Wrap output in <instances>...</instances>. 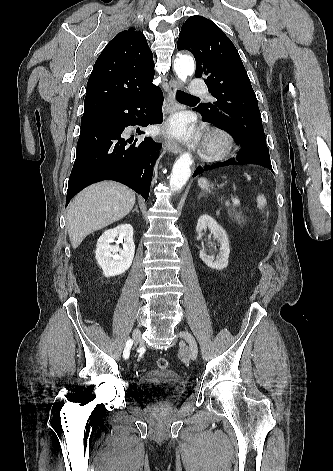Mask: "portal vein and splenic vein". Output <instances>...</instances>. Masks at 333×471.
<instances>
[{
	"label": "portal vein and splenic vein",
	"instance_id": "obj_1",
	"mask_svg": "<svg viewBox=\"0 0 333 471\" xmlns=\"http://www.w3.org/2000/svg\"><path fill=\"white\" fill-rule=\"evenodd\" d=\"M232 203H233L234 206H239L240 205V201L237 198H234L232 200Z\"/></svg>",
	"mask_w": 333,
	"mask_h": 471
}]
</instances>
